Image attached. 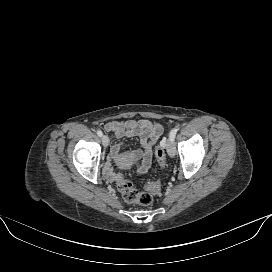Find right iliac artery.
Returning a JSON list of instances; mask_svg holds the SVG:
<instances>
[{
	"instance_id": "82829eb1",
	"label": "right iliac artery",
	"mask_w": 272,
	"mask_h": 272,
	"mask_svg": "<svg viewBox=\"0 0 272 272\" xmlns=\"http://www.w3.org/2000/svg\"><path fill=\"white\" fill-rule=\"evenodd\" d=\"M97 135L101 137L103 135L102 131L98 130Z\"/></svg>"
}]
</instances>
